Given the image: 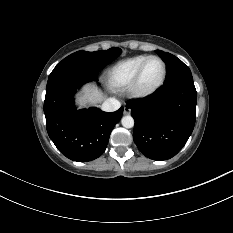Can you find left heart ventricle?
<instances>
[{
	"instance_id": "obj_1",
	"label": "left heart ventricle",
	"mask_w": 233,
	"mask_h": 233,
	"mask_svg": "<svg viewBox=\"0 0 233 233\" xmlns=\"http://www.w3.org/2000/svg\"><path fill=\"white\" fill-rule=\"evenodd\" d=\"M163 66L157 59H151L142 74L140 86L143 89H149L155 86L161 79Z\"/></svg>"
}]
</instances>
